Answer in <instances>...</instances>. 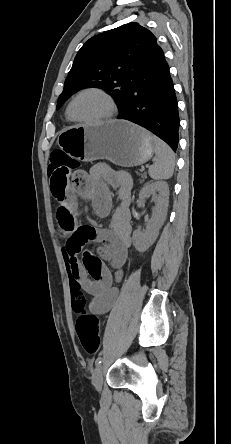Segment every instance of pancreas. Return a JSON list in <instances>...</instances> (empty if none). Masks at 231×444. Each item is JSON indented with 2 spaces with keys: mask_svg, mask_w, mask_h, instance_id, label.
I'll use <instances>...</instances> for the list:
<instances>
[{
  "mask_svg": "<svg viewBox=\"0 0 231 444\" xmlns=\"http://www.w3.org/2000/svg\"><path fill=\"white\" fill-rule=\"evenodd\" d=\"M142 179H145L147 177L146 173L140 174Z\"/></svg>",
  "mask_w": 231,
  "mask_h": 444,
  "instance_id": "1",
  "label": "pancreas"
}]
</instances>
